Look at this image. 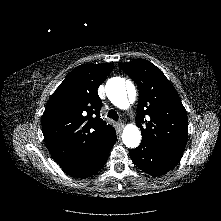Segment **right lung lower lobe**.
<instances>
[{
    "mask_svg": "<svg viewBox=\"0 0 221 221\" xmlns=\"http://www.w3.org/2000/svg\"><path fill=\"white\" fill-rule=\"evenodd\" d=\"M116 140L117 137L115 133L85 158L75 164L63 167V170L69 175L77 178H87L92 176L104 166Z\"/></svg>",
    "mask_w": 221,
    "mask_h": 221,
    "instance_id": "obj_1",
    "label": "right lung lower lobe"
}]
</instances>
